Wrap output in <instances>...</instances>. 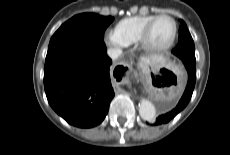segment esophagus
<instances>
[{
    "label": "esophagus",
    "instance_id": "1",
    "mask_svg": "<svg viewBox=\"0 0 230 155\" xmlns=\"http://www.w3.org/2000/svg\"><path fill=\"white\" fill-rule=\"evenodd\" d=\"M117 67L120 68L121 70H124L123 73H126V72L130 71V69H131L130 65L127 64L126 62H119L117 64ZM121 76H123V74H121ZM114 88H115L116 93L124 91L117 83L114 84Z\"/></svg>",
    "mask_w": 230,
    "mask_h": 155
}]
</instances>
